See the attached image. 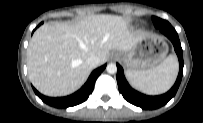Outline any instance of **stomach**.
Segmentation results:
<instances>
[{
    "label": "stomach",
    "mask_w": 203,
    "mask_h": 123,
    "mask_svg": "<svg viewBox=\"0 0 203 123\" xmlns=\"http://www.w3.org/2000/svg\"><path fill=\"white\" fill-rule=\"evenodd\" d=\"M168 53L166 41L157 35L148 34L129 51L119 54V59L129 70L146 71L161 64Z\"/></svg>",
    "instance_id": "obj_1"
}]
</instances>
